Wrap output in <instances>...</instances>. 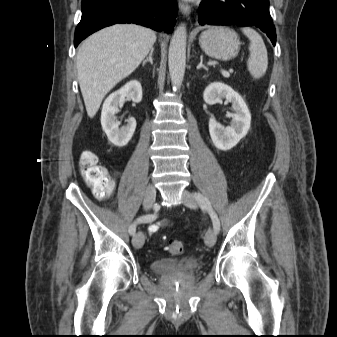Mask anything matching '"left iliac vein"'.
<instances>
[{
	"label": "left iliac vein",
	"instance_id": "left-iliac-vein-1",
	"mask_svg": "<svg viewBox=\"0 0 337 337\" xmlns=\"http://www.w3.org/2000/svg\"><path fill=\"white\" fill-rule=\"evenodd\" d=\"M182 196H183V203L189 207V208H192V209H195L197 207V201H196V198L193 196V194L187 190H184L183 193H182ZM216 231L213 230L212 228H210L206 235H205V244L208 246V247H213L216 243Z\"/></svg>",
	"mask_w": 337,
	"mask_h": 337
}]
</instances>
